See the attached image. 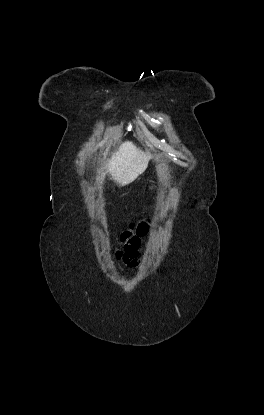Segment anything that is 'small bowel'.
<instances>
[{
	"label": "small bowel",
	"instance_id": "obj_1",
	"mask_svg": "<svg viewBox=\"0 0 264 415\" xmlns=\"http://www.w3.org/2000/svg\"><path fill=\"white\" fill-rule=\"evenodd\" d=\"M137 257V254H136V252H134L133 254H132V256H131V258H133V259H131L130 260V262L133 264L134 262H135V258Z\"/></svg>",
	"mask_w": 264,
	"mask_h": 415
}]
</instances>
